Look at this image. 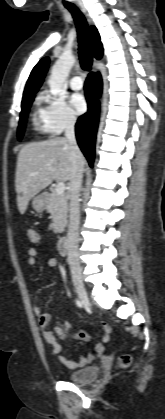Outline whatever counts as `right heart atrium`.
<instances>
[{"instance_id":"d8ad5b80","label":"right heart atrium","mask_w":165,"mask_h":419,"mask_svg":"<svg viewBox=\"0 0 165 419\" xmlns=\"http://www.w3.org/2000/svg\"><path fill=\"white\" fill-rule=\"evenodd\" d=\"M38 117L43 132L60 134L74 127L77 117L65 98L44 92L39 97Z\"/></svg>"}]
</instances>
